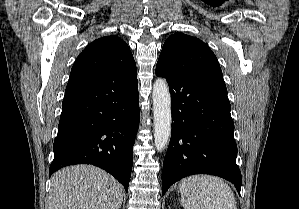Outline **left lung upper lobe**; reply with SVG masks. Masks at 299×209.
<instances>
[{
	"instance_id": "1",
	"label": "left lung upper lobe",
	"mask_w": 299,
	"mask_h": 209,
	"mask_svg": "<svg viewBox=\"0 0 299 209\" xmlns=\"http://www.w3.org/2000/svg\"><path fill=\"white\" fill-rule=\"evenodd\" d=\"M156 68L173 74L223 78L218 60L208 45L179 32L165 41Z\"/></svg>"
}]
</instances>
